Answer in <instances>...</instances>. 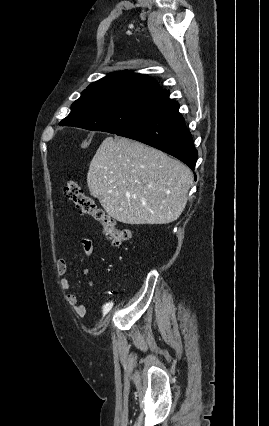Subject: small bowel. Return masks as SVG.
I'll return each instance as SVG.
<instances>
[{
	"label": "small bowel",
	"instance_id": "1",
	"mask_svg": "<svg viewBox=\"0 0 269 426\" xmlns=\"http://www.w3.org/2000/svg\"><path fill=\"white\" fill-rule=\"evenodd\" d=\"M80 243L83 247L84 254L89 262H94L97 258V254L94 248L93 241L89 238L83 237L80 240ZM56 270L57 274L61 277H63L66 274L67 271V261L65 258H60L57 261L56 264ZM84 276L87 279V283L90 288H94L95 283L90 277V271L89 269L84 270ZM61 288L67 292L66 294V301L67 303L73 308L74 312L78 316H85L87 313V308L84 304L80 302L79 297L75 294L70 292L71 290V281L67 277H63L61 279Z\"/></svg>",
	"mask_w": 269,
	"mask_h": 426
}]
</instances>
